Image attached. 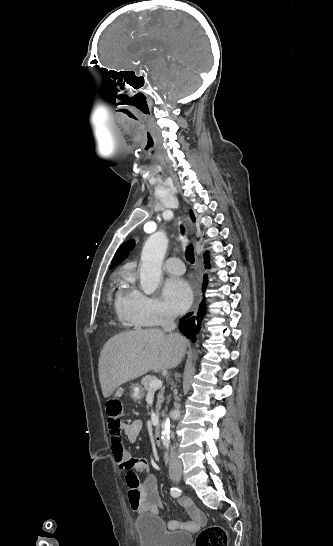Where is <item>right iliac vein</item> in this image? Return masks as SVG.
<instances>
[{"label":"right iliac vein","mask_w":333,"mask_h":546,"mask_svg":"<svg viewBox=\"0 0 333 546\" xmlns=\"http://www.w3.org/2000/svg\"><path fill=\"white\" fill-rule=\"evenodd\" d=\"M170 477L173 481L179 482L182 479V474L180 471H172Z\"/></svg>","instance_id":"right-iliac-vein-1"}]
</instances>
